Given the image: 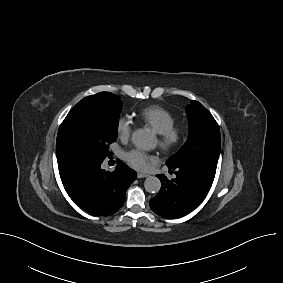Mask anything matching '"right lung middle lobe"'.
Returning <instances> with one entry per match:
<instances>
[{"mask_svg":"<svg viewBox=\"0 0 283 283\" xmlns=\"http://www.w3.org/2000/svg\"><path fill=\"white\" fill-rule=\"evenodd\" d=\"M120 97L100 92L78 102L60 125L56 155L58 164L73 156L105 159L109 145L116 141Z\"/></svg>","mask_w":283,"mask_h":283,"instance_id":"obj_1","label":"right lung middle lobe"}]
</instances>
